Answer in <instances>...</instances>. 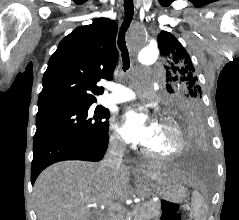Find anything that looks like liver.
<instances>
[{
    "label": "liver",
    "instance_id": "obj_1",
    "mask_svg": "<svg viewBox=\"0 0 239 220\" xmlns=\"http://www.w3.org/2000/svg\"><path fill=\"white\" fill-rule=\"evenodd\" d=\"M135 171V170H134ZM141 171L152 181L171 178L191 185L184 172L161 175L152 170ZM130 178V168L108 169L101 163L61 161L46 168L34 184V203L38 220H89L90 204L110 206L123 196Z\"/></svg>",
    "mask_w": 239,
    "mask_h": 220
}]
</instances>
